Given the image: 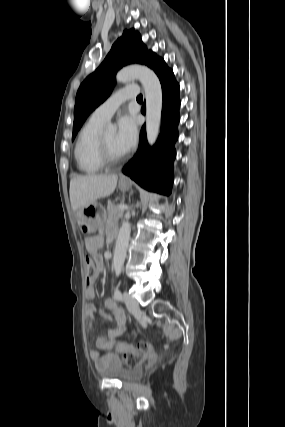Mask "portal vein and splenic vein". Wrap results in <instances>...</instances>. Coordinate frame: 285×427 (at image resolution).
Returning a JSON list of instances; mask_svg holds the SVG:
<instances>
[{
	"mask_svg": "<svg viewBox=\"0 0 285 427\" xmlns=\"http://www.w3.org/2000/svg\"><path fill=\"white\" fill-rule=\"evenodd\" d=\"M117 208L120 209V210H125V209H127V206L125 204H119L117 206Z\"/></svg>",
	"mask_w": 285,
	"mask_h": 427,
	"instance_id": "portal-vein-and-splenic-vein-1",
	"label": "portal vein and splenic vein"
}]
</instances>
